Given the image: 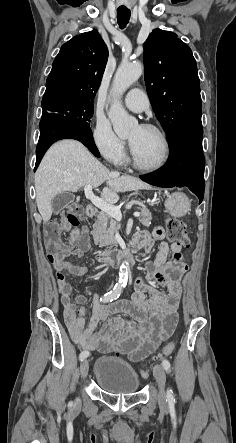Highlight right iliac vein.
I'll list each match as a JSON object with an SVG mask.
<instances>
[{"mask_svg": "<svg viewBox=\"0 0 236 443\" xmlns=\"http://www.w3.org/2000/svg\"><path fill=\"white\" fill-rule=\"evenodd\" d=\"M88 371H89V364L88 361L84 359L80 364V374L83 379L87 377Z\"/></svg>", "mask_w": 236, "mask_h": 443, "instance_id": "1", "label": "right iliac vein"}]
</instances>
